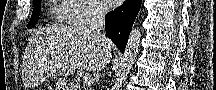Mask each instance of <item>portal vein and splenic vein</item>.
<instances>
[{
  "mask_svg": "<svg viewBox=\"0 0 216 90\" xmlns=\"http://www.w3.org/2000/svg\"><path fill=\"white\" fill-rule=\"evenodd\" d=\"M84 86H91L94 82V78L92 76H89V74H85L84 78Z\"/></svg>",
  "mask_w": 216,
  "mask_h": 90,
  "instance_id": "18ae733b",
  "label": "portal vein and splenic vein"
}]
</instances>
